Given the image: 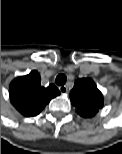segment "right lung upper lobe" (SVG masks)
Instances as JSON below:
<instances>
[{
    "label": "right lung upper lobe",
    "mask_w": 122,
    "mask_h": 154,
    "mask_svg": "<svg viewBox=\"0 0 122 154\" xmlns=\"http://www.w3.org/2000/svg\"><path fill=\"white\" fill-rule=\"evenodd\" d=\"M41 77L37 71L15 78L10 84V100L24 116H36L49 101L58 96L60 91L54 84L42 87Z\"/></svg>",
    "instance_id": "right-lung-upper-lobe-1"
}]
</instances>
